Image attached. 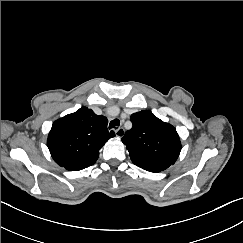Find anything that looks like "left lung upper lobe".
I'll list each match as a JSON object with an SVG mask.
<instances>
[{
	"mask_svg": "<svg viewBox=\"0 0 243 243\" xmlns=\"http://www.w3.org/2000/svg\"><path fill=\"white\" fill-rule=\"evenodd\" d=\"M130 120L133 127L126 132L122 142L135 165L164 170L175 163L181 142L172 125L147 110L132 114Z\"/></svg>",
	"mask_w": 243,
	"mask_h": 243,
	"instance_id": "1",
	"label": "left lung upper lobe"
}]
</instances>
